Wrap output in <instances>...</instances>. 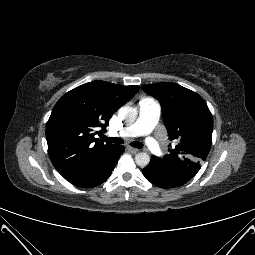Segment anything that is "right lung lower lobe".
Segmentation results:
<instances>
[{"instance_id":"obj_1","label":"right lung lower lobe","mask_w":255,"mask_h":255,"mask_svg":"<svg viewBox=\"0 0 255 255\" xmlns=\"http://www.w3.org/2000/svg\"><path fill=\"white\" fill-rule=\"evenodd\" d=\"M123 152L124 146L117 145L112 156L104 163L87 172L86 174L68 181L78 187L92 188L100 185L101 183L105 182L111 175L119 157Z\"/></svg>"}]
</instances>
